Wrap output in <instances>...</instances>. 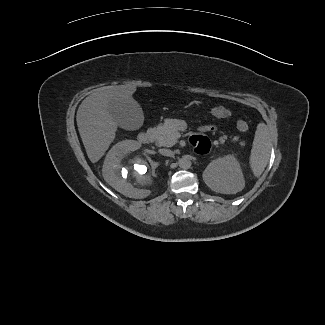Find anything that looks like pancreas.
<instances>
[{
  "instance_id": "obj_1",
  "label": "pancreas",
  "mask_w": 325,
  "mask_h": 325,
  "mask_svg": "<svg viewBox=\"0 0 325 325\" xmlns=\"http://www.w3.org/2000/svg\"><path fill=\"white\" fill-rule=\"evenodd\" d=\"M187 128V124L183 120L178 119H166L165 122L161 125H158L155 128L157 137H156V145L161 147H171L174 144L177 143V139L179 136V131H184ZM227 139V135H223L219 138V141H215L214 144L218 145L224 144V142ZM232 142L239 141V138L237 136L233 137ZM240 146H245V142L241 141Z\"/></svg>"
}]
</instances>
